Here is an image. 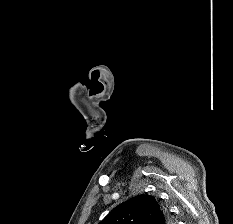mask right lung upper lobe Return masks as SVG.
<instances>
[{
    "instance_id": "cb5924a9",
    "label": "right lung upper lobe",
    "mask_w": 233,
    "mask_h": 224,
    "mask_svg": "<svg viewBox=\"0 0 233 224\" xmlns=\"http://www.w3.org/2000/svg\"><path fill=\"white\" fill-rule=\"evenodd\" d=\"M165 208L153 196L138 195L115 207L99 224H170Z\"/></svg>"
}]
</instances>
